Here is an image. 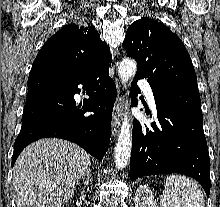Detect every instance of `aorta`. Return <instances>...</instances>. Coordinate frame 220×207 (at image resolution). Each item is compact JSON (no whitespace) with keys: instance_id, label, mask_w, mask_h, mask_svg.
I'll return each instance as SVG.
<instances>
[{"instance_id":"762f6f07","label":"aorta","mask_w":220,"mask_h":207,"mask_svg":"<svg viewBox=\"0 0 220 207\" xmlns=\"http://www.w3.org/2000/svg\"><path fill=\"white\" fill-rule=\"evenodd\" d=\"M137 71V64L134 59L124 58L118 67L119 75L122 79V82L126 84ZM128 105H125V109H127ZM132 148V129L131 123L129 119V115L127 112L124 114V118L122 121V126L120 130V134L118 136V140L115 146V166L118 169H123L127 166Z\"/></svg>"}]
</instances>
